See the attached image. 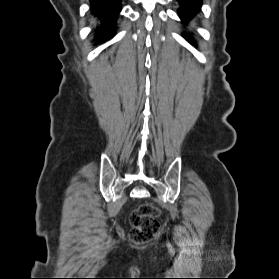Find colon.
Instances as JSON below:
<instances>
[{
	"instance_id": "5ec220e1",
	"label": "colon",
	"mask_w": 279,
	"mask_h": 279,
	"mask_svg": "<svg viewBox=\"0 0 279 279\" xmlns=\"http://www.w3.org/2000/svg\"><path fill=\"white\" fill-rule=\"evenodd\" d=\"M160 210L152 204H142L131 214V229L129 237L132 243L140 245L146 243L158 234Z\"/></svg>"
}]
</instances>
